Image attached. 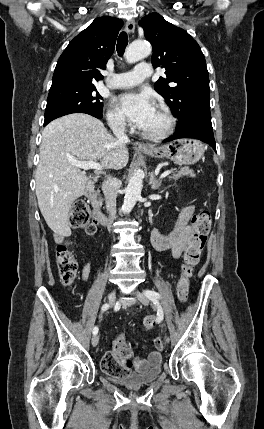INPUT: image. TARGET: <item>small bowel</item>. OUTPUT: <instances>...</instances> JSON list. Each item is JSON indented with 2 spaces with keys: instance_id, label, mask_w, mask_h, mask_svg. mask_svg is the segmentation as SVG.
Instances as JSON below:
<instances>
[{
  "instance_id": "c3829d8e",
  "label": "small bowel",
  "mask_w": 264,
  "mask_h": 429,
  "mask_svg": "<svg viewBox=\"0 0 264 429\" xmlns=\"http://www.w3.org/2000/svg\"><path fill=\"white\" fill-rule=\"evenodd\" d=\"M194 212L193 205H186L182 208L175 227L168 232H161L157 229L151 231L150 240L153 247L158 251L169 250L172 257L177 259L187 249L189 244L194 238V230L188 226V221ZM97 221L94 220L92 224L86 228V234L94 235L97 231ZM71 235L70 230H65L62 233L55 234L54 238L58 244L73 245L75 242L69 239ZM91 273V264L86 263L82 271V278L86 280ZM126 346V343L122 337H118L114 343L113 348L108 354L119 355L121 349ZM160 350L151 351L146 359L135 358L131 359L127 357L124 359V364L127 370L130 372L131 369L136 371H145L147 368L155 366L161 362Z\"/></svg>"
}]
</instances>
